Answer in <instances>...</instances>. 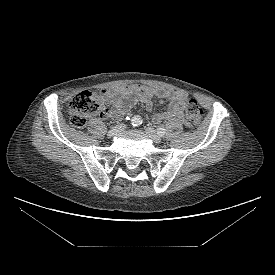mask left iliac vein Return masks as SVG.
I'll return each instance as SVG.
<instances>
[{
	"label": "left iliac vein",
	"instance_id": "1",
	"mask_svg": "<svg viewBox=\"0 0 275 275\" xmlns=\"http://www.w3.org/2000/svg\"><path fill=\"white\" fill-rule=\"evenodd\" d=\"M145 133L147 134V136L156 144H160L162 142L161 136L156 133V131L151 128V127H147L145 128Z\"/></svg>",
	"mask_w": 275,
	"mask_h": 275
}]
</instances>
